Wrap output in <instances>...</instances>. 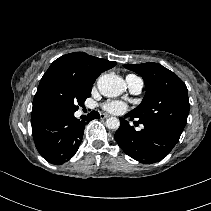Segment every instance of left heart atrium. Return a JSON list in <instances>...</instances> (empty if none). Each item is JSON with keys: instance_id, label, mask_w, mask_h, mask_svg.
<instances>
[{"instance_id": "1", "label": "left heart atrium", "mask_w": 211, "mask_h": 211, "mask_svg": "<svg viewBox=\"0 0 211 211\" xmlns=\"http://www.w3.org/2000/svg\"><path fill=\"white\" fill-rule=\"evenodd\" d=\"M103 108L113 114H120L124 112L127 106L120 101H109L103 105Z\"/></svg>"}]
</instances>
